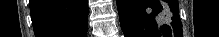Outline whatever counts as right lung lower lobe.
Segmentation results:
<instances>
[{"label": "right lung lower lobe", "mask_w": 219, "mask_h": 37, "mask_svg": "<svg viewBox=\"0 0 219 37\" xmlns=\"http://www.w3.org/2000/svg\"><path fill=\"white\" fill-rule=\"evenodd\" d=\"M36 37H86L87 0H30Z\"/></svg>", "instance_id": "1"}]
</instances>
